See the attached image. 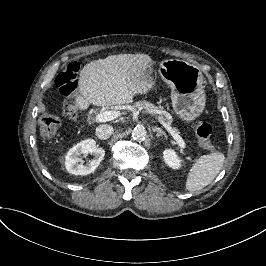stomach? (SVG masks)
I'll return each instance as SVG.
<instances>
[{"label": "stomach", "instance_id": "1", "mask_svg": "<svg viewBox=\"0 0 266 266\" xmlns=\"http://www.w3.org/2000/svg\"><path fill=\"white\" fill-rule=\"evenodd\" d=\"M158 72L171 88L174 112L187 121L198 117L204 110L206 102L203 90L204 76L201 70L188 62L170 59L160 63ZM147 75L150 80L153 79L152 72Z\"/></svg>", "mask_w": 266, "mask_h": 266}]
</instances>
